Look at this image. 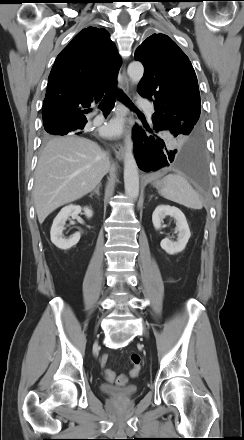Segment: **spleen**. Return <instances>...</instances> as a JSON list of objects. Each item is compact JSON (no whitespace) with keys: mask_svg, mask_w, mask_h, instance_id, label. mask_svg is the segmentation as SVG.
Returning <instances> with one entry per match:
<instances>
[{"mask_svg":"<svg viewBox=\"0 0 244 440\" xmlns=\"http://www.w3.org/2000/svg\"><path fill=\"white\" fill-rule=\"evenodd\" d=\"M158 193L165 199L187 208L200 210L203 207V202L198 193L188 181L179 174H169L165 176L158 187Z\"/></svg>","mask_w":244,"mask_h":440,"instance_id":"1","label":"spleen"}]
</instances>
